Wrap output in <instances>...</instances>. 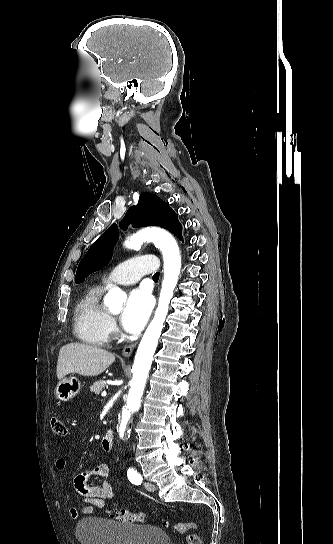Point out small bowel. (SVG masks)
Returning a JSON list of instances; mask_svg holds the SVG:
<instances>
[{
	"instance_id": "small-bowel-1",
	"label": "small bowel",
	"mask_w": 333,
	"mask_h": 544,
	"mask_svg": "<svg viewBox=\"0 0 333 544\" xmlns=\"http://www.w3.org/2000/svg\"><path fill=\"white\" fill-rule=\"evenodd\" d=\"M66 461L60 458L56 462L59 471L66 469ZM111 468L108 463H101L93 469L83 472L74 478L73 485L76 492L81 496L78 500L80 506H73L70 509L72 518L76 519L82 515H90L95 509H102L114 497L112 485L108 481ZM101 479L100 485L91 483L92 479Z\"/></svg>"
}]
</instances>
